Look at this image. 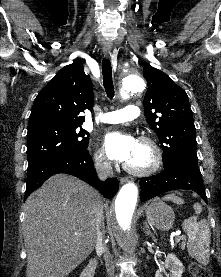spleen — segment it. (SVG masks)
Returning <instances> with one entry per match:
<instances>
[{
  "mask_svg": "<svg viewBox=\"0 0 221 277\" xmlns=\"http://www.w3.org/2000/svg\"><path fill=\"white\" fill-rule=\"evenodd\" d=\"M165 201H172L176 204H183L184 200L173 194L162 198ZM197 215L202 212L199 204L194 205ZM183 230L187 233V250L189 255L202 265H207L210 259V229L206 221H197V216H192L182 223Z\"/></svg>",
  "mask_w": 221,
  "mask_h": 277,
  "instance_id": "obj_1",
  "label": "spleen"
}]
</instances>
